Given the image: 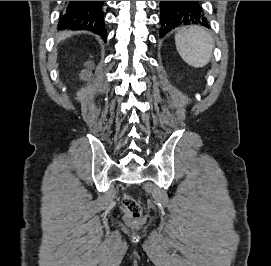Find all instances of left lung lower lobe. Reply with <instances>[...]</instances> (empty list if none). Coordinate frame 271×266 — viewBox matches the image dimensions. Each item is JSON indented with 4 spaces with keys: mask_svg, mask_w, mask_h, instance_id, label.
<instances>
[{
    "mask_svg": "<svg viewBox=\"0 0 271 266\" xmlns=\"http://www.w3.org/2000/svg\"><path fill=\"white\" fill-rule=\"evenodd\" d=\"M160 36L181 25L209 27L200 1H160Z\"/></svg>",
    "mask_w": 271,
    "mask_h": 266,
    "instance_id": "0a47b994",
    "label": "left lung lower lobe"
}]
</instances>
